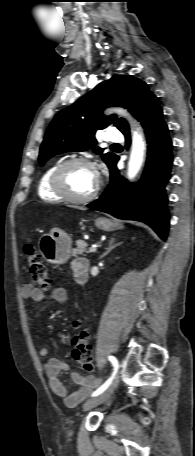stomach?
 Masks as SVG:
<instances>
[{"label":"stomach","instance_id":"0dacf381","mask_svg":"<svg viewBox=\"0 0 195 456\" xmlns=\"http://www.w3.org/2000/svg\"><path fill=\"white\" fill-rule=\"evenodd\" d=\"M95 226L104 231H113L122 228V225L107 218H96ZM71 238L63 230L53 228L40 241V252L50 263H64L70 258Z\"/></svg>","mask_w":195,"mask_h":456}]
</instances>
